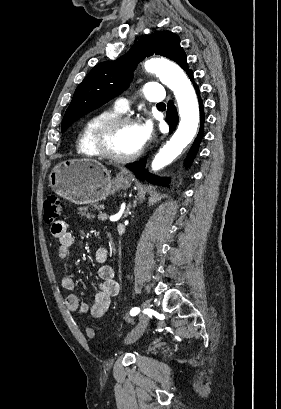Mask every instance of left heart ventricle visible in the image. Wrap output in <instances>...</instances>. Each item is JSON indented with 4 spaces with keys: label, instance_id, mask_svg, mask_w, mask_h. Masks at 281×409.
Segmentation results:
<instances>
[{
    "label": "left heart ventricle",
    "instance_id": "1",
    "mask_svg": "<svg viewBox=\"0 0 281 409\" xmlns=\"http://www.w3.org/2000/svg\"><path fill=\"white\" fill-rule=\"evenodd\" d=\"M142 146L138 127L120 125L108 137V147L114 154L128 155Z\"/></svg>",
    "mask_w": 281,
    "mask_h": 409
}]
</instances>
